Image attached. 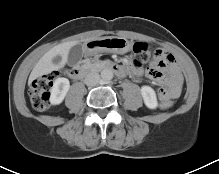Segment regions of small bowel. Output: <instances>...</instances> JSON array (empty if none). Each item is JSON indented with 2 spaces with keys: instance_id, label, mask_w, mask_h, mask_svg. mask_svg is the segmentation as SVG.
<instances>
[{
  "instance_id": "small-bowel-1",
  "label": "small bowel",
  "mask_w": 219,
  "mask_h": 174,
  "mask_svg": "<svg viewBox=\"0 0 219 174\" xmlns=\"http://www.w3.org/2000/svg\"><path fill=\"white\" fill-rule=\"evenodd\" d=\"M143 71L139 68L132 67L131 74L135 78H139ZM168 73V76H165ZM146 75L157 82L164 83L169 89L158 86L155 89V96L164 101H173L178 97L183 77L181 70L176 64L173 55L162 48L155 50V57L151 67L146 71Z\"/></svg>"
}]
</instances>
